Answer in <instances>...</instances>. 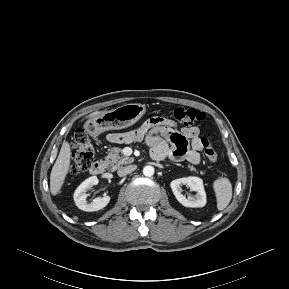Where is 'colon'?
<instances>
[{
    "instance_id": "1",
    "label": "colon",
    "mask_w": 289,
    "mask_h": 289,
    "mask_svg": "<svg viewBox=\"0 0 289 289\" xmlns=\"http://www.w3.org/2000/svg\"><path fill=\"white\" fill-rule=\"evenodd\" d=\"M169 116L181 125L206 123L205 113L193 108H175L169 112ZM94 129L95 124H91L88 127L89 131H93ZM88 130L78 128L74 132L72 140L74 152L70 165V171L73 175H78L86 171L94 159V148L89 140ZM202 140L205 156L210 162L215 163L218 155L212 141L208 138H203Z\"/></svg>"
}]
</instances>
